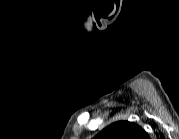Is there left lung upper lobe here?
I'll list each match as a JSON object with an SVG mask.
<instances>
[{"instance_id": "5c2ea615", "label": "left lung upper lobe", "mask_w": 179, "mask_h": 139, "mask_svg": "<svg viewBox=\"0 0 179 139\" xmlns=\"http://www.w3.org/2000/svg\"><path fill=\"white\" fill-rule=\"evenodd\" d=\"M98 136L105 139H146L147 133L137 124L118 121L103 129Z\"/></svg>"}]
</instances>
